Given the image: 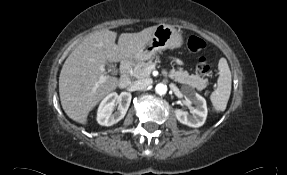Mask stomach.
<instances>
[{
  "instance_id": "obj_1",
  "label": "stomach",
  "mask_w": 287,
  "mask_h": 175,
  "mask_svg": "<svg viewBox=\"0 0 287 175\" xmlns=\"http://www.w3.org/2000/svg\"><path fill=\"white\" fill-rule=\"evenodd\" d=\"M182 44L183 38L173 26L159 24L156 26L150 41L133 58L137 61L148 60L158 52L179 48Z\"/></svg>"
}]
</instances>
